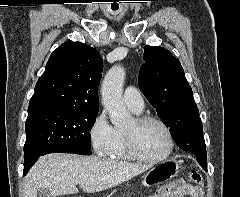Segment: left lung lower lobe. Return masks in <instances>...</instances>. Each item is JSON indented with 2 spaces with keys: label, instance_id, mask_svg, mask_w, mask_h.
Here are the masks:
<instances>
[{
  "label": "left lung lower lobe",
  "instance_id": "1",
  "mask_svg": "<svg viewBox=\"0 0 240 197\" xmlns=\"http://www.w3.org/2000/svg\"><path fill=\"white\" fill-rule=\"evenodd\" d=\"M196 129H197L196 127H192V128H189V129L184 128L183 130H181V134L179 135L180 138H177L178 143L182 146L181 139H183L185 137L187 139V137H192V136L196 135V132H195ZM197 161L199 162L201 167L206 171L207 170L206 159L197 158Z\"/></svg>",
  "mask_w": 240,
  "mask_h": 197
}]
</instances>
